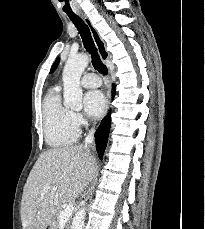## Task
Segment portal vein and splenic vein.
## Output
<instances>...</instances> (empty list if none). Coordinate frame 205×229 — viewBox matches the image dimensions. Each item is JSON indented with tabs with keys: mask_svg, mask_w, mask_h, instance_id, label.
I'll list each match as a JSON object with an SVG mask.
<instances>
[{
	"mask_svg": "<svg viewBox=\"0 0 205 229\" xmlns=\"http://www.w3.org/2000/svg\"><path fill=\"white\" fill-rule=\"evenodd\" d=\"M54 190H56V187H53ZM73 211V205L69 204L63 211H61L59 215V221L60 223H65L68 221L70 216L72 215Z\"/></svg>",
	"mask_w": 205,
	"mask_h": 229,
	"instance_id": "portal-vein-and-splenic-vein-1",
	"label": "portal vein and splenic vein"
}]
</instances>
